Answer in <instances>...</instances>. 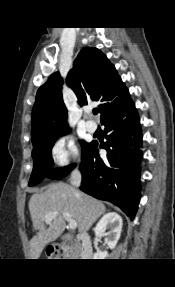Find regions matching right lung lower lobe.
Masks as SVG:
<instances>
[{
	"mask_svg": "<svg viewBox=\"0 0 175 287\" xmlns=\"http://www.w3.org/2000/svg\"><path fill=\"white\" fill-rule=\"evenodd\" d=\"M101 124L108 133L103 145L107 157L102 159L96 148L97 143L91 142L80 164V189L115 204L133 219L141 196L142 156V132L135 104L130 99L120 108L104 115Z\"/></svg>",
	"mask_w": 175,
	"mask_h": 287,
	"instance_id": "right-lung-lower-lobe-1",
	"label": "right lung lower lobe"
}]
</instances>
